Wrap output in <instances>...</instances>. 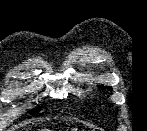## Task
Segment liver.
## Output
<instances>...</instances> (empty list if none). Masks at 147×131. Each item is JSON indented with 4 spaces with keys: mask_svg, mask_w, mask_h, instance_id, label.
Instances as JSON below:
<instances>
[{
    "mask_svg": "<svg viewBox=\"0 0 147 131\" xmlns=\"http://www.w3.org/2000/svg\"><path fill=\"white\" fill-rule=\"evenodd\" d=\"M44 131H49L48 129H45Z\"/></svg>",
    "mask_w": 147,
    "mask_h": 131,
    "instance_id": "obj_1",
    "label": "liver"
}]
</instances>
